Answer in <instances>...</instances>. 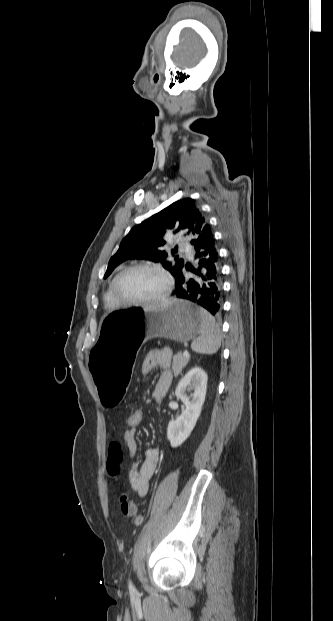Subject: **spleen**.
I'll return each mask as SVG.
<instances>
[{
  "label": "spleen",
  "instance_id": "1",
  "mask_svg": "<svg viewBox=\"0 0 333 621\" xmlns=\"http://www.w3.org/2000/svg\"><path fill=\"white\" fill-rule=\"evenodd\" d=\"M201 316V335L195 339L191 348L199 354H215L220 346L222 334L215 318L204 308H200Z\"/></svg>",
  "mask_w": 333,
  "mask_h": 621
}]
</instances>
